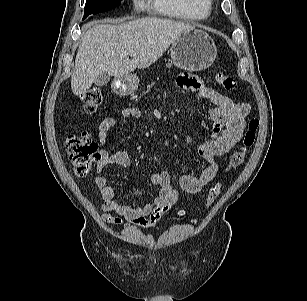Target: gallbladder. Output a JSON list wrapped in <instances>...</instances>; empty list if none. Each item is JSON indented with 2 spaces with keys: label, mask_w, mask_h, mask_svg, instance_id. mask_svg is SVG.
<instances>
[{
  "label": "gallbladder",
  "mask_w": 307,
  "mask_h": 301,
  "mask_svg": "<svg viewBox=\"0 0 307 301\" xmlns=\"http://www.w3.org/2000/svg\"><path fill=\"white\" fill-rule=\"evenodd\" d=\"M110 81V75L107 73H101L96 79L94 80V84L98 87L106 85Z\"/></svg>",
  "instance_id": "1"
}]
</instances>
